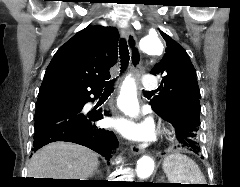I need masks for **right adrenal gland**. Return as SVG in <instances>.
Here are the masks:
<instances>
[{"label":"right adrenal gland","mask_w":240,"mask_h":187,"mask_svg":"<svg viewBox=\"0 0 240 187\" xmlns=\"http://www.w3.org/2000/svg\"><path fill=\"white\" fill-rule=\"evenodd\" d=\"M95 174H101V171H100L99 169H96V170L94 171L93 175H95Z\"/></svg>","instance_id":"2a0ac1e0"}]
</instances>
